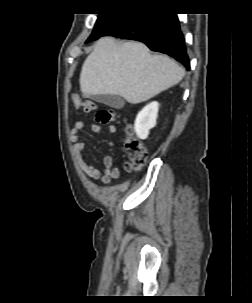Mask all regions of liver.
Wrapping results in <instances>:
<instances>
[{
	"label": "liver",
	"instance_id": "1",
	"mask_svg": "<svg viewBox=\"0 0 252 303\" xmlns=\"http://www.w3.org/2000/svg\"><path fill=\"white\" fill-rule=\"evenodd\" d=\"M184 74L175 61L165 55H151L142 43L104 37L86 58L79 82L86 97L119 95L137 104L178 84Z\"/></svg>",
	"mask_w": 252,
	"mask_h": 303
}]
</instances>
